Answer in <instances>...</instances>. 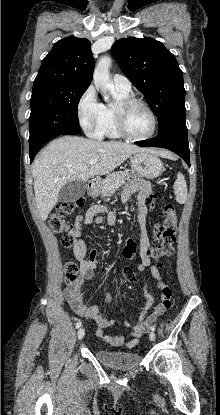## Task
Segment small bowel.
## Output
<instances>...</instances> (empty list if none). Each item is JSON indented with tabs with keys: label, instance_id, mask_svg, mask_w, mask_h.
Listing matches in <instances>:
<instances>
[{
	"label": "small bowel",
	"instance_id": "c3829d8e",
	"mask_svg": "<svg viewBox=\"0 0 220 415\" xmlns=\"http://www.w3.org/2000/svg\"><path fill=\"white\" fill-rule=\"evenodd\" d=\"M134 193H137L136 212L138 222V242H139V269H149L152 276L159 281L160 272L154 264H152L149 256V239L146 228V215L148 197L150 194V185L145 180H136L130 184L122 193V202L128 203L131 201ZM105 210V207L99 204L90 205L87 210L76 217L74 227L69 234L73 237L75 246L74 253L78 260L81 261L80 275L77 280L68 285L64 289V297L69 303L73 311L80 317L92 320L97 325L96 334L103 341L109 345L118 347L125 345L127 348H132L139 343L141 336L146 333L150 325L160 316L155 310L148 313L153 306V299L146 293V304L143 311L140 313L136 325L128 335H109L105 329L114 325V320L106 319L96 305L90 304L84 300V295L87 293L85 289L86 282L95 277V271L98 267L99 253L96 249H87L85 241L82 239V233L86 226L96 225L103 222V217L100 216ZM116 217V211H109L107 215V223L113 224ZM134 240L128 238L127 240ZM126 240V241H127Z\"/></svg>",
	"mask_w": 220,
	"mask_h": 415
}]
</instances>
